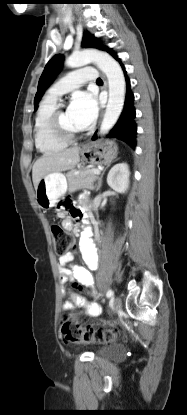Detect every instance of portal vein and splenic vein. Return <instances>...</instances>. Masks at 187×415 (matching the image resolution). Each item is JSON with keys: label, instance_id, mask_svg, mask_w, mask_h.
Here are the masks:
<instances>
[{"label": "portal vein and splenic vein", "instance_id": "18ae733b", "mask_svg": "<svg viewBox=\"0 0 187 415\" xmlns=\"http://www.w3.org/2000/svg\"><path fill=\"white\" fill-rule=\"evenodd\" d=\"M90 172L96 175L100 174V171L98 169H92L90 170Z\"/></svg>", "mask_w": 187, "mask_h": 415}]
</instances>
